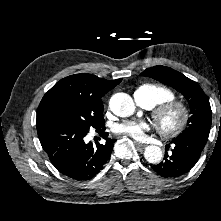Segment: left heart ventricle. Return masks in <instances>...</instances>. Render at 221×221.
I'll use <instances>...</instances> for the list:
<instances>
[{"label":"left heart ventricle","instance_id":"b2bd125f","mask_svg":"<svg viewBox=\"0 0 221 221\" xmlns=\"http://www.w3.org/2000/svg\"><path fill=\"white\" fill-rule=\"evenodd\" d=\"M174 119H175V115H174V114H169V115L165 118V122H166L167 124H170V123H172V122L174 121Z\"/></svg>","mask_w":221,"mask_h":221}]
</instances>
